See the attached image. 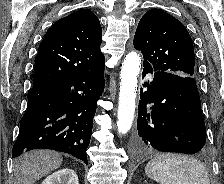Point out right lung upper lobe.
<instances>
[{
    "instance_id": "right-lung-upper-lobe-1",
    "label": "right lung upper lobe",
    "mask_w": 224,
    "mask_h": 184,
    "mask_svg": "<svg viewBox=\"0 0 224 184\" xmlns=\"http://www.w3.org/2000/svg\"><path fill=\"white\" fill-rule=\"evenodd\" d=\"M101 35L99 19L89 10L56 21L39 46L33 85L79 76L104 66Z\"/></svg>"
}]
</instances>
